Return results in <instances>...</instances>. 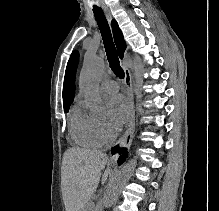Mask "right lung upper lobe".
Returning <instances> with one entry per match:
<instances>
[{
    "label": "right lung upper lobe",
    "instance_id": "1",
    "mask_svg": "<svg viewBox=\"0 0 219 211\" xmlns=\"http://www.w3.org/2000/svg\"><path fill=\"white\" fill-rule=\"evenodd\" d=\"M112 30L114 35L115 44L117 46L119 57H123V53L126 49V43L123 38V34L119 29V26L115 20H112ZM78 52L74 51L70 59L68 61L65 78H64V87H63V104L64 105H71L74 100L75 95V73L78 64Z\"/></svg>",
    "mask_w": 219,
    "mask_h": 211
}]
</instances>
